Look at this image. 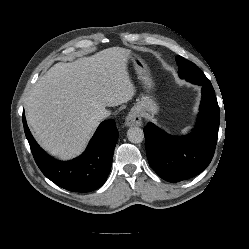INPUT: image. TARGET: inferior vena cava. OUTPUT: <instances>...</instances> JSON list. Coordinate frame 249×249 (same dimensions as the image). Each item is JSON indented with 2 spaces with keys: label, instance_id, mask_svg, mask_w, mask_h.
I'll list each match as a JSON object with an SVG mask.
<instances>
[{
  "label": "inferior vena cava",
  "instance_id": "inferior-vena-cava-1",
  "mask_svg": "<svg viewBox=\"0 0 249 249\" xmlns=\"http://www.w3.org/2000/svg\"><path fill=\"white\" fill-rule=\"evenodd\" d=\"M110 115V111L103 109L97 115V119L102 120Z\"/></svg>",
  "mask_w": 249,
  "mask_h": 249
}]
</instances>
